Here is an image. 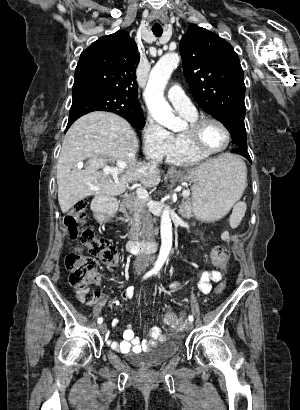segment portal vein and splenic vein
<instances>
[{
  "mask_svg": "<svg viewBox=\"0 0 300 410\" xmlns=\"http://www.w3.org/2000/svg\"><path fill=\"white\" fill-rule=\"evenodd\" d=\"M116 165H117L116 167L111 168L109 171L112 172V173H118L126 167V164L123 161H117ZM136 194L144 202L148 201V199H149V194H148L147 190L144 189L143 187H138L137 190H136ZM182 195H183V197H188L190 195V191L189 190H183Z\"/></svg>",
  "mask_w": 300,
  "mask_h": 410,
  "instance_id": "portal-vein-and-splenic-vein-1",
  "label": "portal vein and splenic vein"
}]
</instances>
